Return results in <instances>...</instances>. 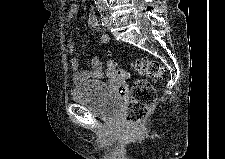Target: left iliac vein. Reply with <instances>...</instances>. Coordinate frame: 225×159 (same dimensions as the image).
Wrapping results in <instances>:
<instances>
[{
    "instance_id": "left-iliac-vein-1",
    "label": "left iliac vein",
    "mask_w": 225,
    "mask_h": 159,
    "mask_svg": "<svg viewBox=\"0 0 225 159\" xmlns=\"http://www.w3.org/2000/svg\"><path fill=\"white\" fill-rule=\"evenodd\" d=\"M111 26H112V18L109 17L108 18V23H107L106 27L109 29V28H111Z\"/></svg>"
}]
</instances>
